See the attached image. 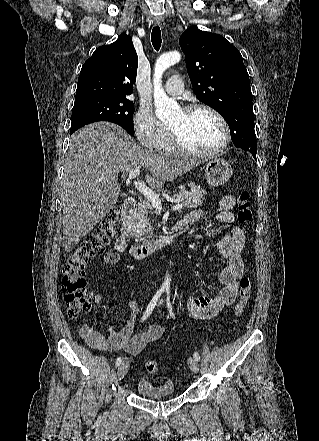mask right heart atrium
Here are the masks:
<instances>
[{
	"instance_id": "d8ad5b80",
	"label": "right heart atrium",
	"mask_w": 319,
	"mask_h": 441,
	"mask_svg": "<svg viewBox=\"0 0 319 441\" xmlns=\"http://www.w3.org/2000/svg\"><path fill=\"white\" fill-rule=\"evenodd\" d=\"M133 129L139 145L146 150H163L169 139L167 128L149 106H140L133 119Z\"/></svg>"
}]
</instances>
